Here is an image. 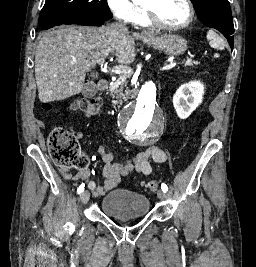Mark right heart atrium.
Listing matches in <instances>:
<instances>
[{"instance_id":"right-heart-atrium-1","label":"right heart atrium","mask_w":256,"mask_h":267,"mask_svg":"<svg viewBox=\"0 0 256 267\" xmlns=\"http://www.w3.org/2000/svg\"><path fill=\"white\" fill-rule=\"evenodd\" d=\"M142 15H143V10L140 4L134 5L132 12L125 17H119L116 15L115 12H113L114 18L123 23H133L136 19H138Z\"/></svg>"}]
</instances>
